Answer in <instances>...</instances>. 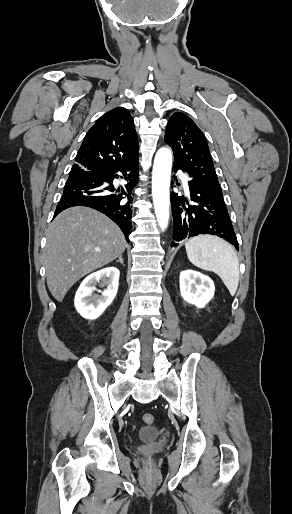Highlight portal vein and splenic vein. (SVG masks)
Masks as SVG:
<instances>
[{
    "instance_id": "18ae733b",
    "label": "portal vein and splenic vein",
    "mask_w": 292,
    "mask_h": 514,
    "mask_svg": "<svg viewBox=\"0 0 292 514\" xmlns=\"http://www.w3.org/2000/svg\"><path fill=\"white\" fill-rule=\"evenodd\" d=\"M96 252H100V250H96Z\"/></svg>"
}]
</instances>
